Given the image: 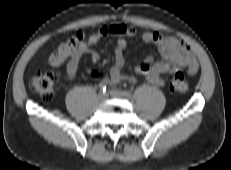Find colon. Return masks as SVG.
Returning a JSON list of instances; mask_svg holds the SVG:
<instances>
[{
    "label": "colon",
    "instance_id": "5ec220e1",
    "mask_svg": "<svg viewBox=\"0 0 231 170\" xmlns=\"http://www.w3.org/2000/svg\"><path fill=\"white\" fill-rule=\"evenodd\" d=\"M84 34L78 32L75 36L69 38L65 42L61 43L55 52L49 57L50 66L62 65L77 49V46L81 40H83ZM57 75L51 69L39 71L31 79L29 83L30 89L39 94L43 99H51L55 91V83ZM189 88L188 82L185 76L181 72L175 73L171 82L170 90L173 93H185Z\"/></svg>",
    "mask_w": 231,
    "mask_h": 170
}]
</instances>
